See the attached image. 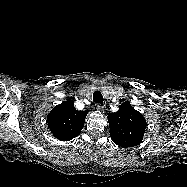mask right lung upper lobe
I'll return each instance as SVG.
<instances>
[{"instance_id":"right-lung-upper-lobe-1","label":"right lung upper lobe","mask_w":187,"mask_h":187,"mask_svg":"<svg viewBox=\"0 0 187 187\" xmlns=\"http://www.w3.org/2000/svg\"><path fill=\"white\" fill-rule=\"evenodd\" d=\"M87 113L88 111H77L74 101L68 99L53 108L47 116V123L54 137L69 141L80 134Z\"/></svg>"}]
</instances>
